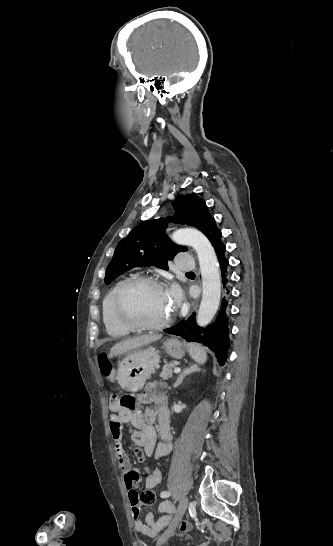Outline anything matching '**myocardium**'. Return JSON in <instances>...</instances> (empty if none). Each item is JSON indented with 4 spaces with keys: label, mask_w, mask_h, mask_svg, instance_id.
<instances>
[{
    "label": "myocardium",
    "mask_w": 333,
    "mask_h": 546,
    "mask_svg": "<svg viewBox=\"0 0 333 546\" xmlns=\"http://www.w3.org/2000/svg\"><path fill=\"white\" fill-rule=\"evenodd\" d=\"M143 285H153L163 288V284L151 276H136L129 279L118 290L114 309L119 321L132 330H161L168 327L174 320V311L163 321L149 323L134 316L127 306V297L135 288Z\"/></svg>",
    "instance_id": "obj_1"
}]
</instances>
